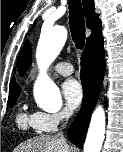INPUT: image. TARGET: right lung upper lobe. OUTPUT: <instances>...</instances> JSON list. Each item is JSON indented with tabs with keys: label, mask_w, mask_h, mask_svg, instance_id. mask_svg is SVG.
<instances>
[{
	"label": "right lung upper lobe",
	"mask_w": 123,
	"mask_h": 152,
	"mask_svg": "<svg viewBox=\"0 0 123 152\" xmlns=\"http://www.w3.org/2000/svg\"><path fill=\"white\" fill-rule=\"evenodd\" d=\"M83 7H84V13L86 17V24L89 29L92 30V34L87 38V44H90L95 39L102 37L101 34V21L98 19V14L95 13L94 3L93 0H83ZM21 88L16 83L15 78L13 77L10 89H9V95L14 94L16 92H20Z\"/></svg>",
	"instance_id": "right-lung-upper-lobe-1"
}]
</instances>
